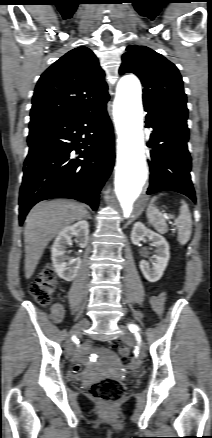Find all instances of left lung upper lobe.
Masks as SVG:
<instances>
[{
	"instance_id": "left-lung-upper-lobe-1",
	"label": "left lung upper lobe",
	"mask_w": 212,
	"mask_h": 438,
	"mask_svg": "<svg viewBox=\"0 0 212 438\" xmlns=\"http://www.w3.org/2000/svg\"><path fill=\"white\" fill-rule=\"evenodd\" d=\"M119 73H134L143 86L144 107L187 118L186 94L177 67L146 46L129 45Z\"/></svg>"
}]
</instances>
